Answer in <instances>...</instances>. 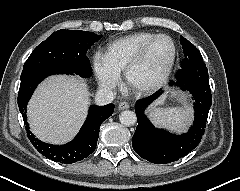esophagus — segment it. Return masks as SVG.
I'll list each match as a JSON object with an SVG mask.
<instances>
[{
  "label": "esophagus",
  "mask_w": 240,
  "mask_h": 191,
  "mask_svg": "<svg viewBox=\"0 0 240 191\" xmlns=\"http://www.w3.org/2000/svg\"><path fill=\"white\" fill-rule=\"evenodd\" d=\"M118 107L120 110H125V109H128L130 107V105L128 102L124 101V102L119 103Z\"/></svg>",
  "instance_id": "34e87169"
}]
</instances>
